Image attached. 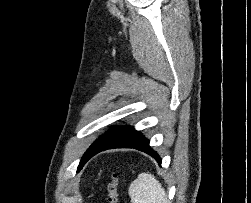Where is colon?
Here are the masks:
<instances>
[{
    "label": "colon",
    "mask_w": 251,
    "mask_h": 203,
    "mask_svg": "<svg viewBox=\"0 0 251 203\" xmlns=\"http://www.w3.org/2000/svg\"><path fill=\"white\" fill-rule=\"evenodd\" d=\"M118 185H119V174L117 172H113L111 181L107 186L106 203H119Z\"/></svg>",
    "instance_id": "obj_1"
}]
</instances>
